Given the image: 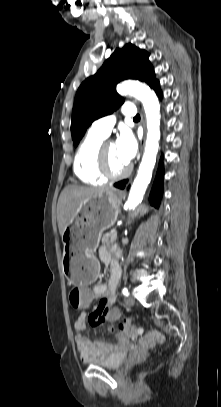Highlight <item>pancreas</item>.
<instances>
[{
  "instance_id": "1",
  "label": "pancreas",
  "mask_w": 221,
  "mask_h": 407,
  "mask_svg": "<svg viewBox=\"0 0 221 407\" xmlns=\"http://www.w3.org/2000/svg\"><path fill=\"white\" fill-rule=\"evenodd\" d=\"M117 240V232L112 230L111 232H108L104 234L101 238V242L103 246H110Z\"/></svg>"
}]
</instances>
